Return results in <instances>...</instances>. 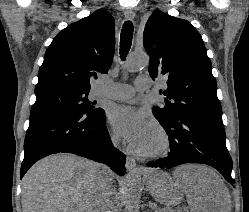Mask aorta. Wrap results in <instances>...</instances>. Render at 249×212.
<instances>
[{
	"instance_id": "obj_1",
	"label": "aorta",
	"mask_w": 249,
	"mask_h": 212,
	"mask_svg": "<svg viewBox=\"0 0 249 212\" xmlns=\"http://www.w3.org/2000/svg\"><path fill=\"white\" fill-rule=\"evenodd\" d=\"M149 63V57L146 53H133L126 61V70L135 72ZM141 172L136 169L131 173L127 182L125 195V212H139L141 199Z\"/></svg>"
}]
</instances>
